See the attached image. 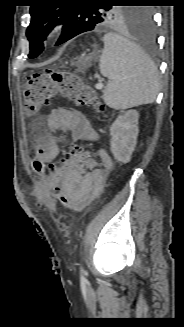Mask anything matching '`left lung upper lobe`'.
<instances>
[{"label":"left lung upper lobe","instance_id":"left-lung-upper-lobe-1","mask_svg":"<svg viewBox=\"0 0 184 327\" xmlns=\"http://www.w3.org/2000/svg\"><path fill=\"white\" fill-rule=\"evenodd\" d=\"M47 2L52 1L39 0L30 8L31 22L26 32L30 43L29 58L37 57L44 50L43 41L56 25L62 24L64 31L81 34L100 26H137L150 14L142 7L112 6L113 3H132L134 0H100L96 5L72 0L71 4L62 6L47 5Z\"/></svg>","mask_w":184,"mask_h":327}]
</instances>
